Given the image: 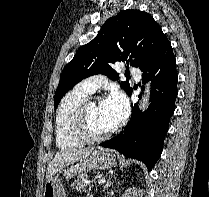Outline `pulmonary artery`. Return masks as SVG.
Segmentation results:
<instances>
[{"instance_id":"obj_1","label":"pulmonary artery","mask_w":209,"mask_h":197,"mask_svg":"<svg viewBox=\"0 0 209 197\" xmlns=\"http://www.w3.org/2000/svg\"><path fill=\"white\" fill-rule=\"evenodd\" d=\"M130 73L138 80L141 78V70L138 67H130ZM105 82L106 78L104 76L93 75L83 80L79 85L93 93Z\"/></svg>"}]
</instances>
